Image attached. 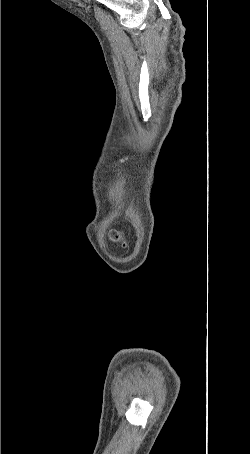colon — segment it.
<instances>
[{"instance_id": "obj_1", "label": "colon", "mask_w": 250, "mask_h": 454, "mask_svg": "<svg viewBox=\"0 0 250 454\" xmlns=\"http://www.w3.org/2000/svg\"><path fill=\"white\" fill-rule=\"evenodd\" d=\"M110 238L113 241H122L123 240L122 233L120 231H117V230H114V231L111 232Z\"/></svg>"}]
</instances>
